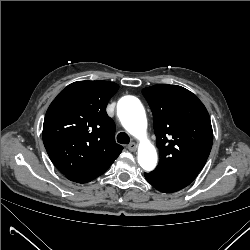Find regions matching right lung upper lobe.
I'll use <instances>...</instances> for the list:
<instances>
[{
  "label": "right lung upper lobe",
  "instance_id": "right-lung-upper-lobe-1",
  "mask_svg": "<svg viewBox=\"0 0 250 250\" xmlns=\"http://www.w3.org/2000/svg\"><path fill=\"white\" fill-rule=\"evenodd\" d=\"M119 86L107 81H77L50 104L43 124L47 153L66 177L99 170L122 151L115 124L106 113Z\"/></svg>",
  "mask_w": 250,
  "mask_h": 250
}]
</instances>
